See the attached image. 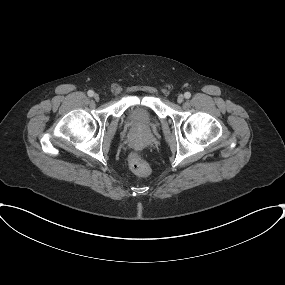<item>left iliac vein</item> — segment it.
<instances>
[{"label":"left iliac vein","mask_w":285,"mask_h":285,"mask_svg":"<svg viewBox=\"0 0 285 285\" xmlns=\"http://www.w3.org/2000/svg\"><path fill=\"white\" fill-rule=\"evenodd\" d=\"M184 101V96L182 94H180L178 97H177V102L178 103H182Z\"/></svg>","instance_id":"obj_1"}]
</instances>
